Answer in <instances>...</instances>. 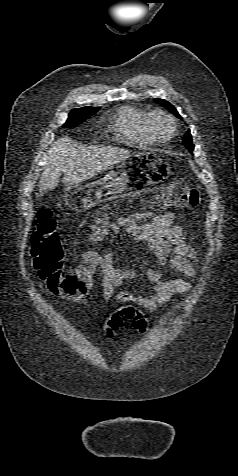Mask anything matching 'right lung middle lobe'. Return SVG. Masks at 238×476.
Instances as JSON below:
<instances>
[{
    "mask_svg": "<svg viewBox=\"0 0 238 476\" xmlns=\"http://www.w3.org/2000/svg\"><path fill=\"white\" fill-rule=\"evenodd\" d=\"M98 108H77L69 113V118L63 124V127H73L85 121L88 117L94 115Z\"/></svg>",
    "mask_w": 238,
    "mask_h": 476,
    "instance_id": "obj_1",
    "label": "right lung middle lobe"
}]
</instances>
